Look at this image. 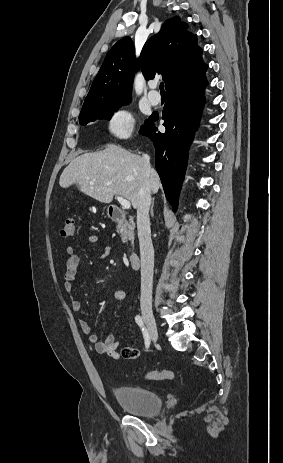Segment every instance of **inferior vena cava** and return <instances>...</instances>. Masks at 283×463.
<instances>
[{
  "instance_id": "inferior-vena-cava-1",
  "label": "inferior vena cava",
  "mask_w": 283,
  "mask_h": 463,
  "mask_svg": "<svg viewBox=\"0 0 283 463\" xmlns=\"http://www.w3.org/2000/svg\"><path fill=\"white\" fill-rule=\"evenodd\" d=\"M143 160L150 167V157L143 154ZM151 191L146 184L142 187L137 206V230L141 257V298L142 311H152V287L154 271V249L151 240L149 208Z\"/></svg>"
}]
</instances>
